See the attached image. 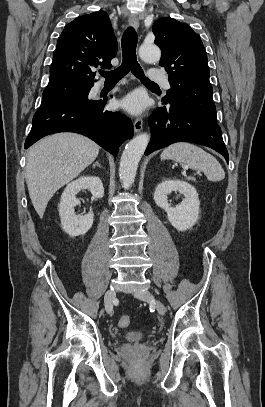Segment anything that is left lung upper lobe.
Returning <instances> with one entry per match:
<instances>
[{
  "label": "left lung upper lobe",
  "mask_w": 265,
  "mask_h": 407,
  "mask_svg": "<svg viewBox=\"0 0 265 407\" xmlns=\"http://www.w3.org/2000/svg\"><path fill=\"white\" fill-rule=\"evenodd\" d=\"M162 49L160 65L168 72L171 89L164 104L182 106L216 121L207 55L201 38L189 25L164 17L152 26Z\"/></svg>",
  "instance_id": "1"
}]
</instances>
